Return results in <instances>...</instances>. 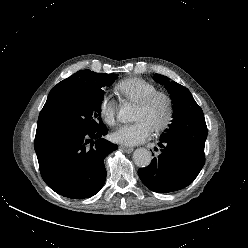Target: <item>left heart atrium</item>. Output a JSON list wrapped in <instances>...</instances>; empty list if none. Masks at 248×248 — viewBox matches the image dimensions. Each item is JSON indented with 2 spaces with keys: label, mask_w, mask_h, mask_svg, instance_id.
I'll use <instances>...</instances> for the list:
<instances>
[{
  "label": "left heart atrium",
  "mask_w": 248,
  "mask_h": 248,
  "mask_svg": "<svg viewBox=\"0 0 248 248\" xmlns=\"http://www.w3.org/2000/svg\"><path fill=\"white\" fill-rule=\"evenodd\" d=\"M152 128L144 121L122 125L112 133V139L118 143L133 146L146 141Z\"/></svg>",
  "instance_id": "obj_1"
}]
</instances>
